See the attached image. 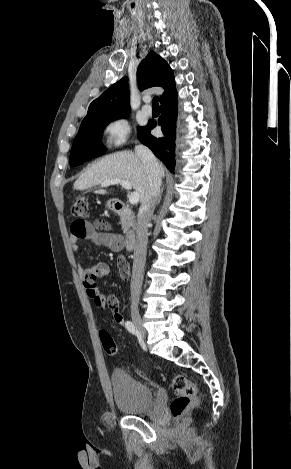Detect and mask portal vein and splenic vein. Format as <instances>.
Returning a JSON list of instances; mask_svg holds the SVG:
<instances>
[{
  "label": "portal vein and splenic vein",
  "mask_w": 291,
  "mask_h": 469,
  "mask_svg": "<svg viewBox=\"0 0 291 469\" xmlns=\"http://www.w3.org/2000/svg\"><path fill=\"white\" fill-rule=\"evenodd\" d=\"M115 184H121V186L127 190H130L132 188V184L128 180H121V179H111L108 181H105L102 183V186H109V185H115ZM129 202L132 205H135L139 202V193L138 192H132L129 195Z\"/></svg>",
  "instance_id": "18ae733b"
}]
</instances>
